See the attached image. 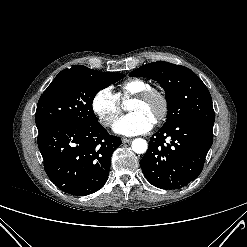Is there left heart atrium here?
Segmentation results:
<instances>
[{
    "mask_svg": "<svg viewBox=\"0 0 247 247\" xmlns=\"http://www.w3.org/2000/svg\"><path fill=\"white\" fill-rule=\"evenodd\" d=\"M154 123L155 119L142 112H131L117 120L113 130L118 134L134 136L148 132Z\"/></svg>",
    "mask_w": 247,
    "mask_h": 247,
    "instance_id": "left-heart-atrium-1",
    "label": "left heart atrium"
}]
</instances>
